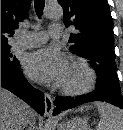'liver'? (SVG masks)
Returning a JSON list of instances; mask_svg holds the SVG:
<instances>
[{"label":"liver","instance_id":"6515ba94","mask_svg":"<svg viewBox=\"0 0 123 130\" xmlns=\"http://www.w3.org/2000/svg\"><path fill=\"white\" fill-rule=\"evenodd\" d=\"M35 121V113L26 103L1 88V130H23L26 124L30 125V130H34Z\"/></svg>","mask_w":123,"mask_h":130}]
</instances>
